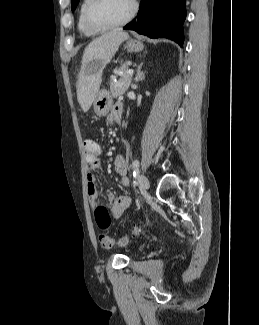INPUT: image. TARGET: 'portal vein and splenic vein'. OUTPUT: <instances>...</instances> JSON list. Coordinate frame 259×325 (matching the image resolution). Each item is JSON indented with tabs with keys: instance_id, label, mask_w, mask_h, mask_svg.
Masks as SVG:
<instances>
[{
	"instance_id": "portal-vein-and-splenic-vein-1",
	"label": "portal vein and splenic vein",
	"mask_w": 259,
	"mask_h": 325,
	"mask_svg": "<svg viewBox=\"0 0 259 325\" xmlns=\"http://www.w3.org/2000/svg\"><path fill=\"white\" fill-rule=\"evenodd\" d=\"M133 73H134V70H133V69H129V70H127V74L132 75Z\"/></svg>"
}]
</instances>
